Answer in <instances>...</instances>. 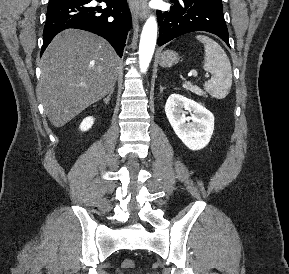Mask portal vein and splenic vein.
<instances>
[{"instance_id": "18ae733b", "label": "portal vein and splenic vein", "mask_w": 289, "mask_h": 274, "mask_svg": "<svg viewBox=\"0 0 289 274\" xmlns=\"http://www.w3.org/2000/svg\"><path fill=\"white\" fill-rule=\"evenodd\" d=\"M193 76L196 77L197 74H196V73H193ZM205 77L208 78V77H209V74H206Z\"/></svg>"}]
</instances>
